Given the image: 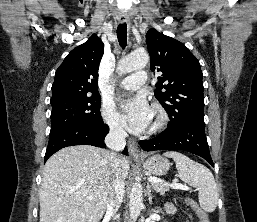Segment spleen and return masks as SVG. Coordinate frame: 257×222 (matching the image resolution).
I'll use <instances>...</instances> for the list:
<instances>
[{
    "instance_id": "obj_1",
    "label": "spleen",
    "mask_w": 257,
    "mask_h": 222,
    "mask_svg": "<svg viewBox=\"0 0 257 222\" xmlns=\"http://www.w3.org/2000/svg\"><path fill=\"white\" fill-rule=\"evenodd\" d=\"M164 156L175 161L180 179L199 191L200 207L205 212H213L218 204V191L211 171L206 166L176 151H168L164 153Z\"/></svg>"
}]
</instances>
